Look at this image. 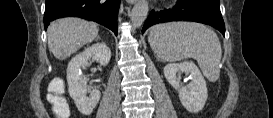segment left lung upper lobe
I'll return each mask as SVG.
<instances>
[{
  "label": "left lung upper lobe",
  "instance_id": "obj_1",
  "mask_svg": "<svg viewBox=\"0 0 273 118\" xmlns=\"http://www.w3.org/2000/svg\"><path fill=\"white\" fill-rule=\"evenodd\" d=\"M206 2H209L210 4L214 5L217 8H220V1L219 0H204Z\"/></svg>",
  "mask_w": 273,
  "mask_h": 118
}]
</instances>
